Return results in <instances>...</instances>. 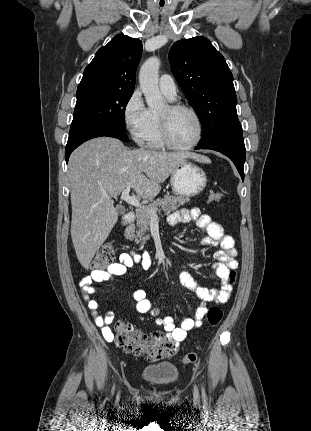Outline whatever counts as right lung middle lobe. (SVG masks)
Segmentation results:
<instances>
[{"instance_id":"obj_1","label":"right lung middle lobe","mask_w":311,"mask_h":431,"mask_svg":"<svg viewBox=\"0 0 311 431\" xmlns=\"http://www.w3.org/2000/svg\"><path fill=\"white\" fill-rule=\"evenodd\" d=\"M132 93L104 89L77 91L70 130L91 123L125 129V108Z\"/></svg>"}]
</instances>
